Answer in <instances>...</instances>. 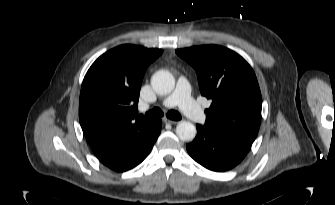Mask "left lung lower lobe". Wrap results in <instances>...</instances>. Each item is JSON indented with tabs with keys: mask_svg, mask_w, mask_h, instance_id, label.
<instances>
[{
	"mask_svg": "<svg viewBox=\"0 0 335 205\" xmlns=\"http://www.w3.org/2000/svg\"><path fill=\"white\" fill-rule=\"evenodd\" d=\"M197 136L186 148L205 168L217 172L232 169L249 151L252 142L197 124Z\"/></svg>",
	"mask_w": 335,
	"mask_h": 205,
	"instance_id": "0a47b994",
	"label": "left lung lower lobe"
}]
</instances>
